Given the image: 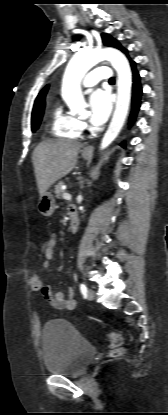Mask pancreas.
<instances>
[{
	"mask_svg": "<svg viewBox=\"0 0 168 415\" xmlns=\"http://www.w3.org/2000/svg\"><path fill=\"white\" fill-rule=\"evenodd\" d=\"M64 182H59L54 190V193L56 195L57 198H61L63 196L64 190L62 189V186L64 185Z\"/></svg>",
	"mask_w": 168,
	"mask_h": 415,
	"instance_id": "1",
	"label": "pancreas"
}]
</instances>
